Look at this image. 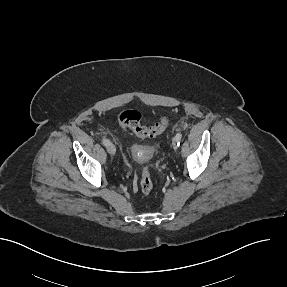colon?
<instances>
[{"mask_svg":"<svg viewBox=\"0 0 287 287\" xmlns=\"http://www.w3.org/2000/svg\"><path fill=\"white\" fill-rule=\"evenodd\" d=\"M117 119L122 130L131 131L141 138H155L161 135L169 124V119L161 116L153 125L145 126L142 124L141 114L136 110H124L118 115ZM136 185L144 194L151 193L153 184L147 167L141 169Z\"/></svg>","mask_w":287,"mask_h":287,"instance_id":"colon-1","label":"colon"}]
</instances>
